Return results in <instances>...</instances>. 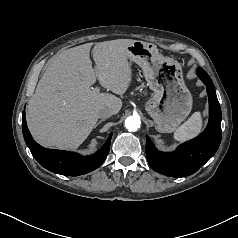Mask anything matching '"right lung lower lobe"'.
Segmentation results:
<instances>
[{"label":"right lung lower lobe","mask_w":238,"mask_h":238,"mask_svg":"<svg viewBox=\"0 0 238 238\" xmlns=\"http://www.w3.org/2000/svg\"><path fill=\"white\" fill-rule=\"evenodd\" d=\"M22 130L27 146L34 158L46 169L61 175L78 176L86 174L98 168L110 149L112 134H110L104 146L95 154L90 156H81L77 153L46 149L36 143L26 124L25 111L22 115Z\"/></svg>","instance_id":"obj_1"}]
</instances>
